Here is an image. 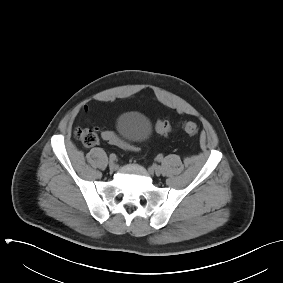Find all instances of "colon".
<instances>
[{
  "label": "colon",
  "mask_w": 283,
  "mask_h": 283,
  "mask_svg": "<svg viewBox=\"0 0 283 283\" xmlns=\"http://www.w3.org/2000/svg\"><path fill=\"white\" fill-rule=\"evenodd\" d=\"M156 131L163 135L168 136L173 131V126L162 119H158L155 123ZM179 128L190 136L197 135L199 127L196 122L183 121L179 124ZM76 139H78L85 147H92L98 142V133L94 127H78L74 131ZM101 138L108 144L120 147L126 151L135 152L136 148L121 139L115 132L105 130L101 133Z\"/></svg>",
  "instance_id": "colon-1"
}]
</instances>
